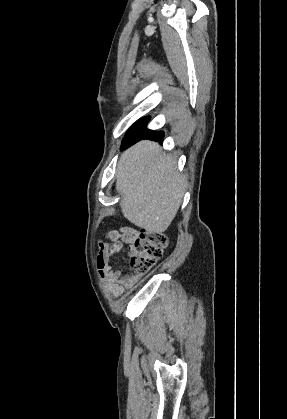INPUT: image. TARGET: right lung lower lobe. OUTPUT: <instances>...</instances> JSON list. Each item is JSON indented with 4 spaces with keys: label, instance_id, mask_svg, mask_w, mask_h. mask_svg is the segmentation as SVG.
<instances>
[{
    "label": "right lung lower lobe",
    "instance_id": "obj_1",
    "mask_svg": "<svg viewBox=\"0 0 287 419\" xmlns=\"http://www.w3.org/2000/svg\"><path fill=\"white\" fill-rule=\"evenodd\" d=\"M142 139H149V140H153V141H158L159 143H162L163 139H164V133L163 132H156V131H152V130H147L145 133H143L142 135H140L139 137L135 138L130 144H128L127 147H129L130 145L136 143L139 140ZM125 147V148H127ZM123 148V149H125Z\"/></svg>",
    "mask_w": 287,
    "mask_h": 419
}]
</instances>
